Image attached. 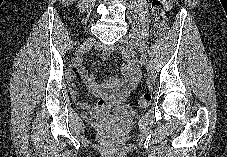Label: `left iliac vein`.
I'll return each mask as SVG.
<instances>
[{
  "instance_id": "left-iliac-vein-1",
  "label": "left iliac vein",
  "mask_w": 227,
  "mask_h": 157,
  "mask_svg": "<svg viewBox=\"0 0 227 157\" xmlns=\"http://www.w3.org/2000/svg\"><path fill=\"white\" fill-rule=\"evenodd\" d=\"M120 43L123 44L126 47H132V48H138L140 49V44L136 39V33L132 32L129 35L123 37L120 40ZM142 61L143 64L146 66V71H147V75L148 77L153 80L155 77V71H154V67L152 65V62L148 59V57H146L144 54H142Z\"/></svg>"
}]
</instances>
